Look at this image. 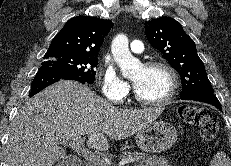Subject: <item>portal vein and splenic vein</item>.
Segmentation results:
<instances>
[{"label":"portal vein and splenic vein","instance_id":"portal-vein-and-splenic-vein-1","mask_svg":"<svg viewBox=\"0 0 231 166\" xmlns=\"http://www.w3.org/2000/svg\"><path fill=\"white\" fill-rule=\"evenodd\" d=\"M85 139V137L79 136L68 139H59V142L72 147L79 155H81L89 163L99 164L102 161H104L84 146ZM135 161L136 159L134 158L124 159L121 161V164H129Z\"/></svg>","mask_w":231,"mask_h":166}]
</instances>
